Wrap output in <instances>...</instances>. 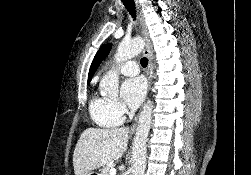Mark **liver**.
Returning a JSON list of instances; mask_svg holds the SVG:
<instances>
[{"label":"liver","instance_id":"6515ba94","mask_svg":"<svg viewBox=\"0 0 251 175\" xmlns=\"http://www.w3.org/2000/svg\"><path fill=\"white\" fill-rule=\"evenodd\" d=\"M129 133V127L84 129L73 151L75 175H88L92 169L104 167L122 157L127 149Z\"/></svg>","mask_w":251,"mask_h":175}]
</instances>
